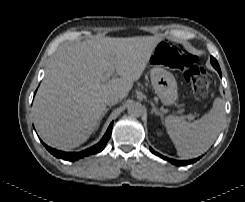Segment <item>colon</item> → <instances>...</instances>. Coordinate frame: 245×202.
Masks as SVG:
<instances>
[{
  "mask_svg": "<svg viewBox=\"0 0 245 202\" xmlns=\"http://www.w3.org/2000/svg\"><path fill=\"white\" fill-rule=\"evenodd\" d=\"M160 50L164 59L182 72L195 97L203 98L209 90L211 79L198 65V57L184 53L178 45L166 38L162 39Z\"/></svg>",
  "mask_w": 245,
  "mask_h": 202,
  "instance_id": "colon-1",
  "label": "colon"
}]
</instances>
